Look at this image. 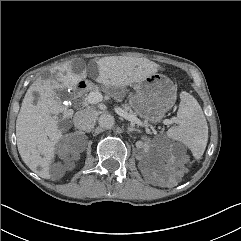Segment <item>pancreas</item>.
I'll list each match as a JSON object with an SVG mask.
<instances>
[{
    "instance_id": "obj_1",
    "label": "pancreas",
    "mask_w": 241,
    "mask_h": 241,
    "mask_svg": "<svg viewBox=\"0 0 241 241\" xmlns=\"http://www.w3.org/2000/svg\"><path fill=\"white\" fill-rule=\"evenodd\" d=\"M92 92H99V88L98 87H94ZM91 93V92H90ZM83 104L86 106L88 104H90L89 101V94H85L83 96ZM124 111L129 112V114L131 115H135V113L128 107V106H124Z\"/></svg>"
}]
</instances>
